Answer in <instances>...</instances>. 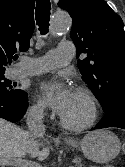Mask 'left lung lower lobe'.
Masks as SVG:
<instances>
[{"mask_svg": "<svg viewBox=\"0 0 125 167\" xmlns=\"http://www.w3.org/2000/svg\"><path fill=\"white\" fill-rule=\"evenodd\" d=\"M104 112V117L92 130L107 127H118L125 129V102L113 103L108 106Z\"/></svg>", "mask_w": 125, "mask_h": 167, "instance_id": "0a47b994", "label": "left lung lower lobe"}]
</instances>
